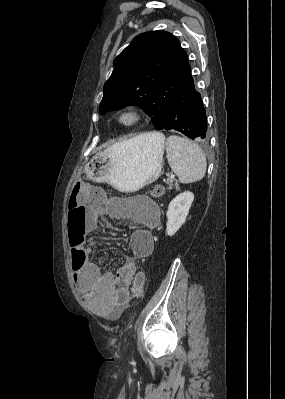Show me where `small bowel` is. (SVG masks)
<instances>
[{
  "instance_id": "c3829d8e",
  "label": "small bowel",
  "mask_w": 285,
  "mask_h": 399,
  "mask_svg": "<svg viewBox=\"0 0 285 399\" xmlns=\"http://www.w3.org/2000/svg\"><path fill=\"white\" fill-rule=\"evenodd\" d=\"M78 206L87 203V197L78 194L76 197ZM97 218L113 216L116 218H127L128 213H122L119 204L108 203L95 207ZM138 217L134 218L137 223L143 224L133 230L129 237L130 255L125 263L117 270L116 274L109 270H103L106 255L95 254L89 249L93 246L95 239L87 233L85 222H67L68 232L77 238V243L71 249L72 261L75 256L83 255V265L75 272L74 282L86 304L91 307L98 316L105 319H117L124 307L132 297L141 298L142 294H136L131 284L137 272V260L150 255L154 241L151 233L155 230L160 218L158 211L145 210L138 207Z\"/></svg>"
}]
</instances>
